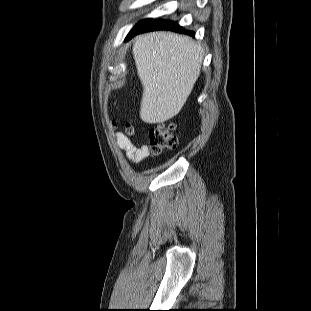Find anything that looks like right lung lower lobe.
<instances>
[{
    "instance_id": "right-lung-lower-lobe-1",
    "label": "right lung lower lobe",
    "mask_w": 311,
    "mask_h": 311,
    "mask_svg": "<svg viewBox=\"0 0 311 311\" xmlns=\"http://www.w3.org/2000/svg\"><path fill=\"white\" fill-rule=\"evenodd\" d=\"M156 30H171L174 32L184 33L194 36L192 31L184 30L177 23L166 20L145 19L140 21L128 34L127 40L139 33L156 31Z\"/></svg>"
}]
</instances>
